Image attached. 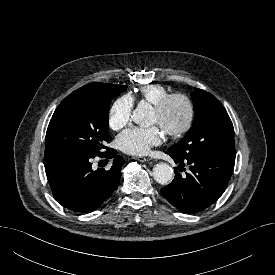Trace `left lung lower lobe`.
Segmentation results:
<instances>
[{"label": "left lung lower lobe", "mask_w": 275, "mask_h": 275, "mask_svg": "<svg viewBox=\"0 0 275 275\" xmlns=\"http://www.w3.org/2000/svg\"><path fill=\"white\" fill-rule=\"evenodd\" d=\"M178 169L187 164L189 173L182 176L175 168L174 180L161 189V193L183 213H196L215 203L224 193L233 173L235 159L207 153L180 158L167 151ZM184 169V168H183Z\"/></svg>", "instance_id": "left-lung-lower-lobe-1"}]
</instances>
